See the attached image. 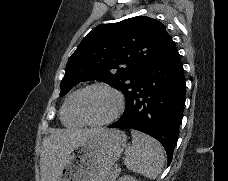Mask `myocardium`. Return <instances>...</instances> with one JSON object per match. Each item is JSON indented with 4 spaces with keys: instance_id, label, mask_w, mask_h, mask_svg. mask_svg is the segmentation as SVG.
<instances>
[{
    "instance_id": "1",
    "label": "myocardium",
    "mask_w": 228,
    "mask_h": 181,
    "mask_svg": "<svg viewBox=\"0 0 228 181\" xmlns=\"http://www.w3.org/2000/svg\"><path fill=\"white\" fill-rule=\"evenodd\" d=\"M91 89L106 90V91L110 92L114 96V99H115V104H114L113 109L105 117H103L97 121L86 120L83 117V115L81 113V109H80V101H81L82 95L86 91L91 90ZM74 106H75V111H76L77 116L84 123L91 125V126H101V125H104V124L114 120L123 112L124 107H125V100H124V97L121 94V92L118 89H116L115 87H113L109 84H106V83H94V84L89 85L88 87H86L85 89H83L82 91L79 92V94L75 100Z\"/></svg>"
}]
</instances>
